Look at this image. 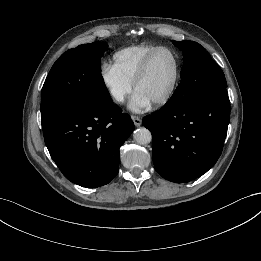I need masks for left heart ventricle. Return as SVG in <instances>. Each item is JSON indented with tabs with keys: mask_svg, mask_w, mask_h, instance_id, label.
<instances>
[{
	"mask_svg": "<svg viewBox=\"0 0 261 261\" xmlns=\"http://www.w3.org/2000/svg\"><path fill=\"white\" fill-rule=\"evenodd\" d=\"M174 59L167 51L159 52L152 60L146 77L137 87L151 103L169 89L174 76Z\"/></svg>",
	"mask_w": 261,
	"mask_h": 261,
	"instance_id": "1",
	"label": "left heart ventricle"
}]
</instances>
